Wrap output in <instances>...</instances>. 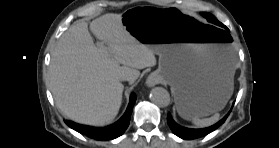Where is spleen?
Returning a JSON list of instances; mask_svg holds the SVG:
<instances>
[{"label": "spleen", "instance_id": "obj_1", "mask_svg": "<svg viewBox=\"0 0 279 148\" xmlns=\"http://www.w3.org/2000/svg\"><path fill=\"white\" fill-rule=\"evenodd\" d=\"M219 118H220V114L215 113L213 116H211L209 118L200 119V118L194 117V118H192V122L198 127H207V126H210V125H213L214 123H216L219 120Z\"/></svg>", "mask_w": 279, "mask_h": 148}]
</instances>
